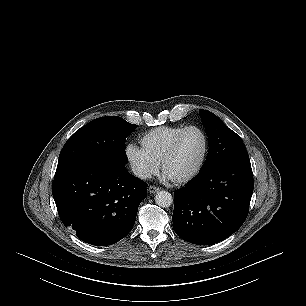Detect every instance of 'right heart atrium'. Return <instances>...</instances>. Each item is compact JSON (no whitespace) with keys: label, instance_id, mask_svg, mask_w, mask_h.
I'll return each mask as SVG.
<instances>
[{"label":"right heart atrium","instance_id":"right-heart-atrium-1","mask_svg":"<svg viewBox=\"0 0 306 306\" xmlns=\"http://www.w3.org/2000/svg\"><path fill=\"white\" fill-rule=\"evenodd\" d=\"M125 157L133 174L139 179H149L159 168L157 162L143 147L130 143L125 148Z\"/></svg>","mask_w":306,"mask_h":306}]
</instances>
